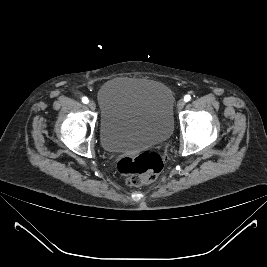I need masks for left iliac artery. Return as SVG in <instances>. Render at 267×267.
Returning a JSON list of instances; mask_svg holds the SVG:
<instances>
[{
  "label": "left iliac artery",
  "instance_id": "44dca946",
  "mask_svg": "<svg viewBox=\"0 0 267 267\" xmlns=\"http://www.w3.org/2000/svg\"><path fill=\"white\" fill-rule=\"evenodd\" d=\"M191 99V96L190 95H186L185 97H184V100L187 102V101H189Z\"/></svg>",
  "mask_w": 267,
  "mask_h": 267
}]
</instances>
